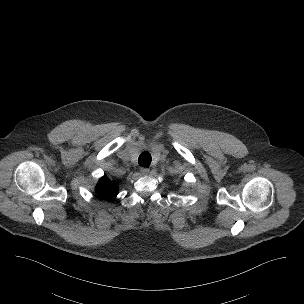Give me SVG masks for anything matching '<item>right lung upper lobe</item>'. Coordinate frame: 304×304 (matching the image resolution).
Returning a JSON list of instances; mask_svg holds the SVG:
<instances>
[{
	"label": "right lung upper lobe",
	"instance_id": "obj_1",
	"mask_svg": "<svg viewBox=\"0 0 304 304\" xmlns=\"http://www.w3.org/2000/svg\"><path fill=\"white\" fill-rule=\"evenodd\" d=\"M117 183L110 181L106 176L102 177L95 190L98 196L102 199L112 200L117 196Z\"/></svg>",
	"mask_w": 304,
	"mask_h": 304
}]
</instances>
